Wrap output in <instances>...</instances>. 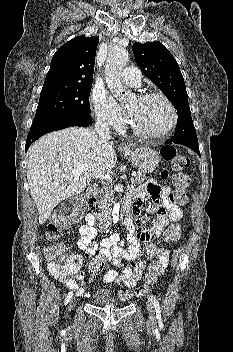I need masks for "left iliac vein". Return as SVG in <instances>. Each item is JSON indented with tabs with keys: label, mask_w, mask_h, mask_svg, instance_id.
<instances>
[{
	"label": "left iliac vein",
	"mask_w": 233,
	"mask_h": 352,
	"mask_svg": "<svg viewBox=\"0 0 233 352\" xmlns=\"http://www.w3.org/2000/svg\"><path fill=\"white\" fill-rule=\"evenodd\" d=\"M146 306H147V310L149 313V322L153 323L154 319H155V309H154V305L151 302V300H147Z\"/></svg>",
	"instance_id": "4c4485c4"
}]
</instances>
